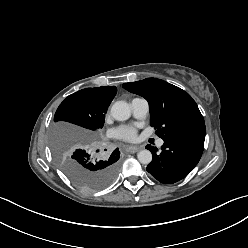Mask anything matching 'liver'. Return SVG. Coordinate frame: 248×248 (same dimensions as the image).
<instances>
[{"label":"liver","instance_id":"obj_1","mask_svg":"<svg viewBox=\"0 0 248 248\" xmlns=\"http://www.w3.org/2000/svg\"><path fill=\"white\" fill-rule=\"evenodd\" d=\"M58 128L60 130H62L63 132L77 133V134H79L81 136H90L91 135L90 132L87 131V130L77 128V127H74V126H70V125H67V124L60 125Z\"/></svg>","mask_w":248,"mask_h":248}]
</instances>
